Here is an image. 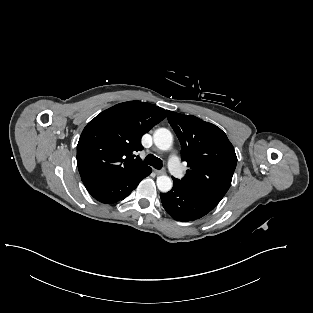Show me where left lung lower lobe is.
Wrapping results in <instances>:
<instances>
[{"label": "left lung lower lobe", "mask_w": 313, "mask_h": 313, "mask_svg": "<svg viewBox=\"0 0 313 313\" xmlns=\"http://www.w3.org/2000/svg\"><path fill=\"white\" fill-rule=\"evenodd\" d=\"M173 188L161 193V201L167 213L178 221H193L209 213L219 202L187 190L174 179Z\"/></svg>", "instance_id": "left-lung-lower-lobe-1"}]
</instances>
